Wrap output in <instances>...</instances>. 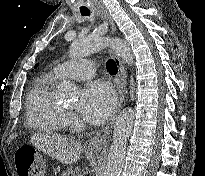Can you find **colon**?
Returning a JSON list of instances; mask_svg holds the SVG:
<instances>
[{
  "instance_id": "colon-1",
  "label": "colon",
  "mask_w": 205,
  "mask_h": 176,
  "mask_svg": "<svg viewBox=\"0 0 205 176\" xmlns=\"http://www.w3.org/2000/svg\"><path fill=\"white\" fill-rule=\"evenodd\" d=\"M19 176H44L45 161L35 150L21 148L15 155Z\"/></svg>"
}]
</instances>
